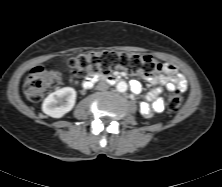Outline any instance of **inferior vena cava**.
Here are the masks:
<instances>
[{"mask_svg":"<svg viewBox=\"0 0 222 187\" xmlns=\"http://www.w3.org/2000/svg\"><path fill=\"white\" fill-rule=\"evenodd\" d=\"M109 88V84L106 81H100L98 83L97 89L98 90H106Z\"/></svg>","mask_w":222,"mask_h":187,"instance_id":"obj_1","label":"inferior vena cava"}]
</instances>
